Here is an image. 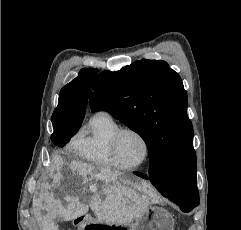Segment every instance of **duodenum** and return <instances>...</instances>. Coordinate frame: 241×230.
Segmentation results:
<instances>
[{
	"mask_svg": "<svg viewBox=\"0 0 241 230\" xmlns=\"http://www.w3.org/2000/svg\"><path fill=\"white\" fill-rule=\"evenodd\" d=\"M86 222V216H80L75 219L74 223L77 225H82Z\"/></svg>",
	"mask_w": 241,
	"mask_h": 230,
	"instance_id": "410a0bca",
	"label": "duodenum"
}]
</instances>
